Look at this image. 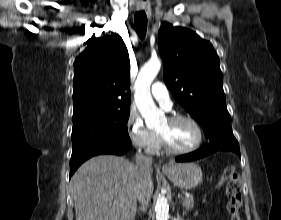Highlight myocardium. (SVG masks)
Returning <instances> with one entry per match:
<instances>
[{
  "mask_svg": "<svg viewBox=\"0 0 281 220\" xmlns=\"http://www.w3.org/2000/svg\"><path fill=\"white\" fill-rule=\"evenodd\" d=\"M167 120L170 122H175L178 120L189 121L196 129L197 141L192 147H190L188 149H175L168 144L167 140L165 139V137L162 134L157 132L159 144L166 153L173 154V155H186V154L193 153L200 148V146L202 145V142H203V130H202V127L199 124V122L194 117L187 115V114L175 113V114L168 116Z\"/></svg>",
  "mask_w": 281,
  "mask_h": 220,
  "instance_id": "f54148a6",
  "label": "myocardium"
}]
</instances>
